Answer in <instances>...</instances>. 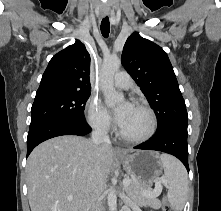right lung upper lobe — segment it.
<instances>
[{"mask_svg":"<svg viewBox=\"0 0 221 211\" xmlns=\"http://www.w3.org/2000/svg\"><path fill=\"white\" fill-rule=\"evenodd\" d=\"M90 55L76 41L50 60L37 92L49 90L90 91Z\"/></svg>","mask_w":221,"mask_h":211,"instance_id":"cb5924a9","label":"right lung upper lobe"}]
</instances>
